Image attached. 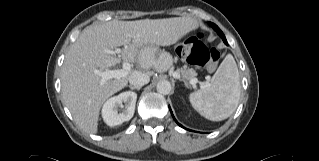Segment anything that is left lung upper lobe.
Returning a JSON list of instances; mask_svg holds the SVG:
<instances>
[{"label": "left lung upper lobe", "instance_id": "1", "mask_svg": "<svg viewBox=\"0 0 319 161\" xmlns=\"http://www.w3.org/2000/svg\"><path fill=\"white\" fill-rule=\"evenodd\" d=\"M210 24L212 25V23H210ZM216 31L219 34V36L223 39L224 43H227V40H226L223 32L219 28H217Z\"/></svg>", "mask_w": 319, "mask_h": 161}]
</instances>
